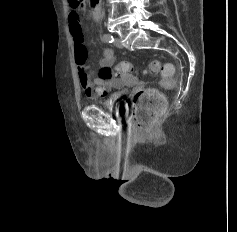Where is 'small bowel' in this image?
Wrapping results in <instances>:
<instances>
[{
	"label": "small bowel",
	"instance_id": "obj_1",
	"mask_svg": "<svg viewBox=\"0 0 237 232\" xmlns=\"http://www.w3.org/2000/svg\"><path fill=\"white\" fill-rule=\"evenodd\" d=\"M100 10H93V17L98 20ZM69 29L74 43V54L78 67L80 85L87 97L97 99L111 94L108 102L116 100L123 87V81L118 78L112 69L115 62V54L111 48H106L103 51L102 57L99 60V73L94 76L86 66L87 49L84 45V37L80 14L71 11L69 14Z\"/></svg>",
	"mask_w": 237,
	"mask_h": 232
}]
</instances>
